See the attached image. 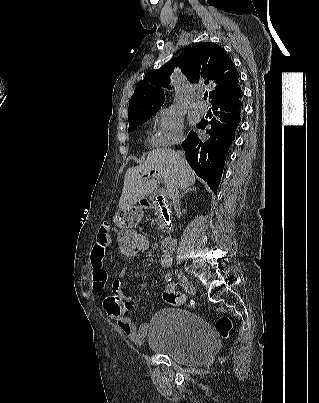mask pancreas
Listing matches in <instances>:
<instances>
[{
	"label": "pancreas",
	"instance_id": "obj_1",
	"mask_svg": "<svg viewBox=\"0 0 319 403\" xmlns=\"http://www.w3.org/2000/svg\"><path fill=\"white\" fill-rule=\"evenodd\" d=\"M155 214H157L156 223H157L158 229H165L166 228V222H165V219H164L163 214L161 212V208L159 206H156Z\"/></svg>",
	"mask_w": 319,
	"mask_h": 403
}]
</instances>
